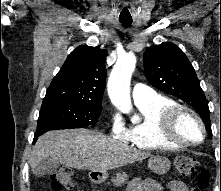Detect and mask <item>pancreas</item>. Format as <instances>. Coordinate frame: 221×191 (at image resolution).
I'll return each instance as SVG.
<instances>
[{"label":"pancreas","mask_w":221,"mask_h":191,"mask_svg":"<svg viewBox=\"0 0 221 191\" xmlns=\"http://www.w3.org/2000/svg\"><path fill=\"white\" fill-rule=\"evenodd\" d=\"M128 180V175L125 173H117L115 177L111 179V182L115 186H121ZM109 184V183H108Z\"/></svg>","instance_id":"obj_1"}]
</instances>
